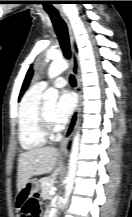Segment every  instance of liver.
Instances as JSON below:
<instances>
[{
  "mask_svg": "<svg viewBox=\"0 0 132 217\" xmlns=\"http://www.w3.org/2000/svg\"><path fill=\"white\" fill-rule=\"evenodd\" d=\"M59 152L54 147L33 148L19 155L17 172V191L21 192L33 176L52 173L59 174L57 157Z\"/></svg>",
  "mask_w": 132,
  "mask_h": 217,
  "instance_id": "6515ba94",
  "label": "liver"
}]
</instances>
